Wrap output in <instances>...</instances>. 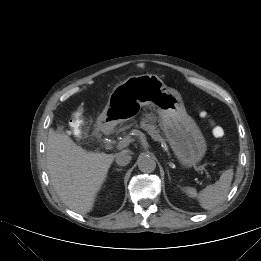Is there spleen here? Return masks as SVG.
<instances>
[{"label":"spleen","instance_id":"obj_1","mask_svg":"<svg viewBox=\"0 0 261 261\" xmlns=\"http://www.w3.org/2000/svg\"><path fill=\"white\" fill-rule=\"evenodd\" d=\"M232 179L233 170L228 169L221 174L219 181L214 185L207 186L200 193H197L196 189L191 187L187 188L185 192L189 197L197 198L203 209L211 210L226 199Z\"/></svg>","mask_w":261,"mask_h":261}]
</instances>
